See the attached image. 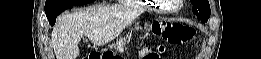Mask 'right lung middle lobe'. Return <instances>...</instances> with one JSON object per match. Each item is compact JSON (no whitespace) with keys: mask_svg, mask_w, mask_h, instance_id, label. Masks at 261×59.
<instances>
[{"mask_svg":"<svg viewBox=\"0 0 261 59\" xmlns=\"http://www.w3.org/2000/svg\"><path fill=\"white\" fill-rule=\"evenodd\" d=\"M95 0H46L45 13L47 17L53 16L63 9L94 2Z\"/></svg>","mask_w":261,"mask_h":59,"instance_id":"1","label":"right lung middle lobe"}]
</instances>
